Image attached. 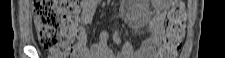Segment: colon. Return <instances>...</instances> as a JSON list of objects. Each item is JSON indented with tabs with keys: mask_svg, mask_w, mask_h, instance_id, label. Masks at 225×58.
<instances>
[{
	"mask_svg": "<svg viewBox=\"0 0 225 58\" xmlns=\"http://www.w3.org/2000/svg\"><path fill=\"white\" fill-rule=\"evenodd\" d=\"M34 21L40 45L52 58H77L79 9L71 0L33 1ZM186 12L176 2L168 13L166 35L159 54L175 58L185 36Z\"/></svg>",
	"mask_w": 225,
	"mask_h": 58,
	"instance_id": "obj_1",
	"label": "colon"
}]
</instances>
